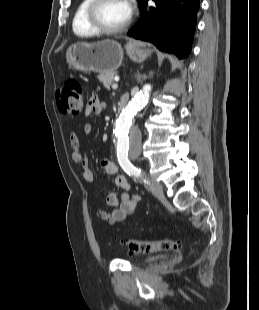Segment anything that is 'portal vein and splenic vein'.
<instances>
[{"instance_id": "portal-vein-and-splenic-vein-1", "label": "portal vein and splenic vein", "mask_w": 259, "mask_h": 310, "mask_svg": "<svg viewBox=\"0 0 259 310\" xmlns=\"http://www.w3.org/2000/svg\"><path fill=\"white\" fill-rule=\"evenodd\" d=\"M112 88H113V89H117V88H118V84H113V85H112Z\"/></svg>"}]
</instances>
